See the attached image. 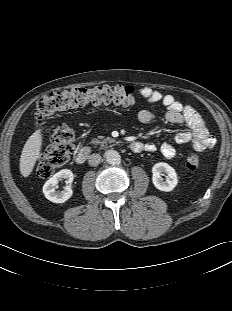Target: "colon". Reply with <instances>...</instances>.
Returning a JSON list of instances; mask_svg holds the SVG:
<instances>
[{
    "label": "colon",
    "instance_id": "colon-1",
    "mask_svg": "<svg viewBox=\"0 0 232 311\" xmlns=\"http://www.w3.org/2000/svg\"><path fill=\"white\" fill-rule=\"evenodd\" d=\"M136 93L130 86H101L94 88H73L54 92L42 97L36 103L35 119L39 125L51 115L68 109L83 106L88 103H113L122 106H132L136 103ZM75 149V133L71 127L59 124L50 132V145L37 162V173L41 177H49L57 169L68 163ZM200 163L195 152H190L186 158V166L194 171Z\"/></svg>",
    "mask_w": 232,
    "mask_h": 311
}]
</instances>
